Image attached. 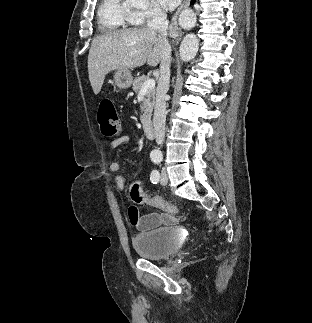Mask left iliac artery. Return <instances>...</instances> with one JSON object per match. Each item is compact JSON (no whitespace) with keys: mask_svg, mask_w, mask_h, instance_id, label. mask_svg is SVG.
<instances>
[{"mask_svg":"<svg viewBox=\"0 0 312 323\" xmlns=\"http://www.w3.org/2000/svg\"><path fill=\"white\" fill-rule=\"evenodd\" d=\"M153 161L155 163H160L162 161L161 158H153ZM159 178H160V174L157 170H153L151 172V175H150V180L153 184H157V182L159 181Z\"/></svg>","mask_w":312,"mask_h":323,"instance_id":"left-iliac-artery-1","label":"left iliac artery"}]
</instances>
